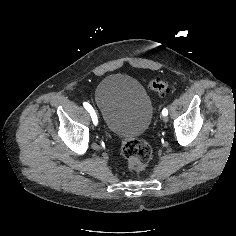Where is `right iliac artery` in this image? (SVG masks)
Wrapping results in <instances>:
<instances>
[{
  "mask_svg": "<svg viewBox=\"0 0 236 236\" xmlns=\"http://www.w3.org/2000/svg\"><path fill=\"white\" fill-rule=\"evenodd\" d=\"M83 106L88 111V113H90L92 121H93L92 122L93 126H95V127L98 126L99 119H98V115H97L96 110H94V108L88 102H84Z\"/></svg>",
  "mask_w": 236,
  "mask_h": 236,
  "instance_id": "obj_1",
  "label": "right iliac artery"
}]
</instances>
